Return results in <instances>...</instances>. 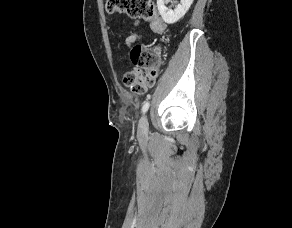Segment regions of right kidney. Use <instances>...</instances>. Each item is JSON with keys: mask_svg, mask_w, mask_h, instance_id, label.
<instances>
[{"mask_svg": "<svg viewBox=\"0 0 292 228\" xmlns=\"http://www.w3.org/2000/svg\"><path fill=\"white\" fill-rule=\"evenodd\" d=\"M164 1L157 0L158 11L167 24H174L186 14L194 0H180L174 10L167 9Z\"/></svg>", "mask_w": 292, "mask_h": 228, "instance_id": "right-kidney-1", "label": "right kidney"}]
</instances>
